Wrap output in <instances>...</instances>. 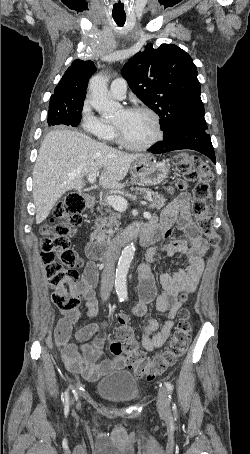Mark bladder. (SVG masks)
Instances as JSON below:
<instances>
[{
  "label": "bladder",
  "instance_id": "31cf9c89",
  "mask_svg": "<svg viewBox=\"0 0 250 454\" xmlns=\"http://www.w3.org/2000/svg\"><path fill=\"white\" fill-rule=\"evenodd\" d=\"M95 392L109 403L128 404L138 398L140 385L132 373L122 370L98 380Z\"/></svg>",
  "mask_w": 250,
  "mask_h": 454
}]
</instances>
